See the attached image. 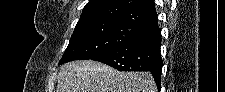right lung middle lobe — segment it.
<instances>
[{
	"instance_id": "right-lung-middle-lobe-1",
	"label": "right lung middle lobe",
	"mask_w": 225,
	"mask_h": 92,
	"mask_svg": "<svg viewBox=\"0 0 225 92\" xmlns=\"http://www.w3.org/2000/svg\"><path fill=\"white\" fill-rule=\"evenodd\" d=\"M144 32L118 22L76 26L59 65L73 60H87L142 35Z\"/></svg>"
}]
</instances>
